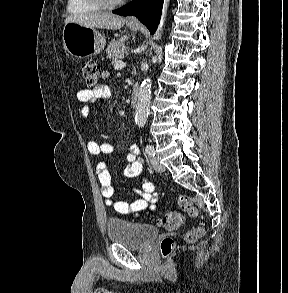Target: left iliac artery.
<instances>
[{"instance_id":"44dca946","label":"left iliac artery","mask_w":288,"mask_h":293,"mask_svg":"<svg viewBox=\"0 0 288 293\" xmlns=\"http://www.w3.org/2000/svg\"><path fill=\"white\" fill-rule=\"evenodd\" d=\"M145 152L151 156V157H154L155 156V151H154V147L152 145H147L145 147Z\"/></svg>"}]
</instances>
